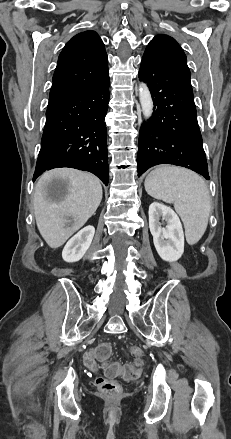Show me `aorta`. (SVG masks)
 Here are the masks:
<instances>
[{"mask_svg": "<svg viewBox=\"0 0 231 439\" xmlns=\"http://www.w3.org/2000/svg\"><path fill=\"white\" fill-rule=\"evenodd\" d=\"M139 100L144 118L147 120L153 113V100L146 83L141 82L139 85Z\"/></svg>", "mask_w": 231, "mask_h": 439, "instance_id": "aorta-1", "label": "aorta"}]
</instances>
